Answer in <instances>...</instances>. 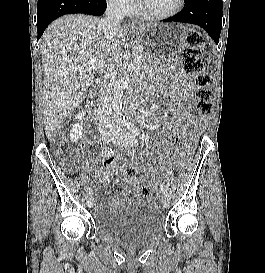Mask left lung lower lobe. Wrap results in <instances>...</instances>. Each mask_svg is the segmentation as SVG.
Instances as JSON below:
<instances>
[{"label": "left lung lower lobe", "mask_w": 265, "mask_h": 273, "mask_svg": "<svg viewBox=\"0 0 265 273\" xmlns=\"http://www.w3.org/2000/svg\"><path fill=\"white\" fill-rule=\"evenodd\" d=\"M163 21L196 24L218 44L222 28V0H185L181 12Z\"/></svg>", "instance_id": "obj_1"}]
</instances>
